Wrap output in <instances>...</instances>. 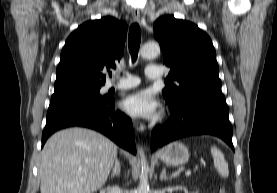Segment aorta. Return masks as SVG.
<instances>
[{
	"mask_svg": "<svg viewBox=\"0 0 277 193\" xmlns=\"http://www.w3.org/2000/svg\"><path fill=\"white\" fill-rule=\"evenodd\" d=\"M141 57L145 59H152L158 56L160 53V46L157 43H147L141 48ZM138 153L141 157V174L140 183L137 189V193H149L148 171L149 166L147 164L144 152L142 149H138Z\"/></svg>",
	"mask_w": 277,
	"mask_h": 193,
	"instance_id": "1",
	"label": "aorta"
}]
</instances>
